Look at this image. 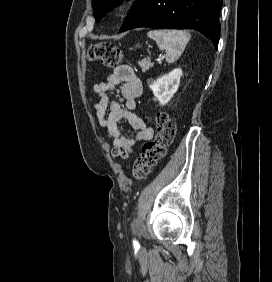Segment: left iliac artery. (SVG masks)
Wrapping results in <instances>:
<instances>
[{"instance_id": "44dca946", "label": "left iliac artery", "mask_w": 272, "mask_h": 282, "mask_svg": "<svg viewBox=\"0 0 272 282\" xmlns=\"http://www.w3.org/2000/svg\"><path fill=\"white\" fill-rule=\"evenodd\" d=\"M133 242H134L135 244H138V242H137V241H135V240H134Z\"/></svg>"}]
</instances>
